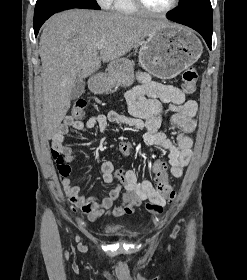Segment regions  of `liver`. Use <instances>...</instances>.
<instances>
[{
	"label": "liver",
	"mask_w": 247,
	"mask_h": 280,
	"mask_svg": "<svg viewBox=\"0 0 247 280\" xmlns=\"http://www.w3.org/2000/svg\"><path fill=\"white\" fill-rule=\"evenodd\" d=\"M173 25L88 9H72L52 16L40 37L43 111L51 138L70 108L71 91L78 78L97 71L128 53L160 27ZM103 43L98 52L96 44Z\"/></svg>",
	"instance_id": "liver-1"
}]
</instances>
